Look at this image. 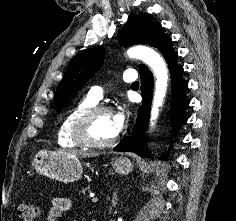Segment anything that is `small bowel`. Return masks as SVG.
Listing matches in <instances>:
<instances>
[{
    "instance_id": "c3829d8e",
    "label": "small bowel",
    "mask_w": 236,
    "mask_h": 221,
    "mask_svg": "<svg viewBox=\"0 0 236 221\" xmlns=\"http://www.w3.org/2000/svg\"><path fill=\"white\" fill-rule=\"evenodd\" d=\"M71 208V199L64 197L54 198L47 213V221H58Z\"/></svg>"
}]
</instances>
